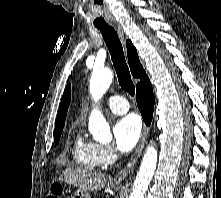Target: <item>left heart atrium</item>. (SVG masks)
Returning <instances> with one entry per match:
<instances>
[{
	"label": "left heart atrium",
	"mask_w": 221,
	"mask_h": 198,
	"mask_svg": "<svg viewBox=\"0 0 221 198\" xmlns=\"http://www.w3.org/2000/svg\"><path fill=\"white\" fill-rule=\"evenodd\" d=\"M117 148L128 152L134 148L141 135V123L135 115H128L115 124L113 128Z\"/></svg>",
	"instance_id": "1"
}]
</instances>
